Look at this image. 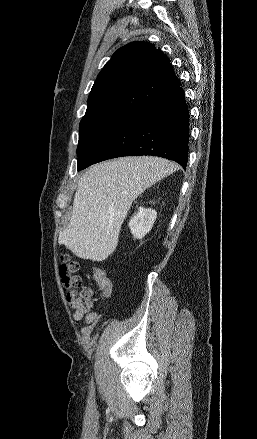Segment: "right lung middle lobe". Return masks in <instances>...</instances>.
Here are the masks:
<instances>
[{
    "label": "right lung middle lobe",
    "mask_w": 257,
    "mask_h": 439,
    "mask_svg": "<svg viewBox=\"0 0 257 439\" xmlns=\"http://www.w3.org/2000/svg\"><path fill=\"white\" fill-rule=\"evenodd\" d=\"M126 118L115 114H97L82 118L77 147L78 170L82 169L101 143Z\"/></svg>",
    "instance_id": "obj_1"
}]
</instances>
